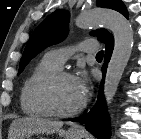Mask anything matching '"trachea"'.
<instances>
[{
  "mask_svg": "<svg viewBox=\"0 0 141 139\" xmlns=\"http://www.w3.org/2000/svg\"><path fill=\"white\" fill-rule=\"evenodd\" d=\"M104 52L103 51H99L96 55L97 58H103Z\"/></svg>",
  "mask_w": 141,
  "mask_h": 139,
  "instance_id": "3493384b",
  "label": "trachea"
}]
</instances>
